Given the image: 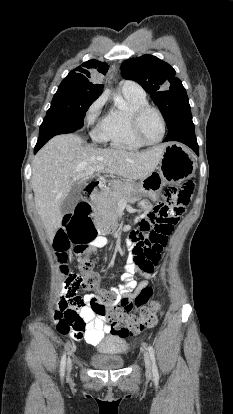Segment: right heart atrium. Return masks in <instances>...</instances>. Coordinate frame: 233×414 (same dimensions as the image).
<instances>
[{
	"label": "right heart atrium",
	"instance_id": "d8ad5b80",
	"mask_svg": "<svg viewBox=\"0 0 233 414\" xmlns=\"http://www.w3.org/2000/svg\"><path fill=\"white\" fill-rule=\"evenodd\" d=\"M106 99L104 96L99 97L96 101H94L90 107L88 108L85 116V120L87 125L93 126L98 115L100 114L101 110L105 105ZM93 136L97 140H102V136L99 130V126L94 130Z\"/></svg>",
	"mask_w": 233,
	"mask_h": 414
}]
</instances>
